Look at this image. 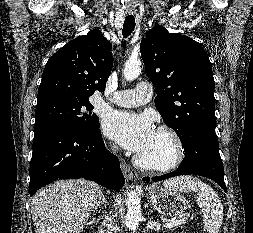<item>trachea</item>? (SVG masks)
Returning <instances> with one entry per match:
<instances>
[{"label":"trachea","mask_w":253,"mask_h":233,"mask_svg":"<svg viewBox=\"0 0 253 233\" xmlns=\"http://www.w3.org/2000/svg\"><path fill=\"white\" fill-rule=\"evenodd\" d=\"M135 28V18L132 15H128L124 21L122 34L124 37H128Z\"/></svg>","instance_id":"trachea-1"}]
</instances>
